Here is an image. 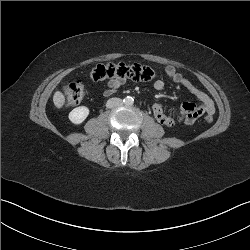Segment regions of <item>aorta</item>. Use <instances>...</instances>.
I'll list each match as a JSON object with an SVG mask.
<instances>
[{"label":"aorta","instance_id":"762f6f07","mask_svg":"<svg viewBox=\"0 0 250 250\" xmlns=\"http://www.w3.org/2000/svg\"><path fill=\"white\" fill-rule=\"evenodd\" d=\"M123 102H124L125 105L131 106L134 103V99L131 96H127V97L124 98Z\"/></svg>","mask_w":250,"mask_h":250}]
</instances>
